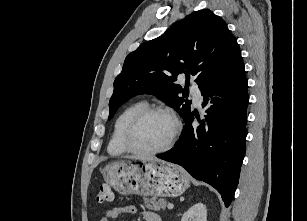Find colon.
<instances>
[{
	"mask_svg": "<svg viewBox=\"0 0 307 221\" xmlns=\"http://www.w3.org/2000/svg\"><path fill=\"white\" fill-rule=\"evenodd\" d=\"M113 192L109 185L103 184L99 187L96 195V201L99 204L109 203L113 201Z\"/></svg>",
	"mask_w": 307,
	"mask_h": 221,
	"instance_id": "obj_1",
	"label": "colon"
}]
</instances>
